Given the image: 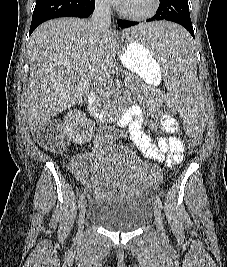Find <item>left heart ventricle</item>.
Segmentation results:
<instances>
[{"instance_id": "b2bd125f", "label": "left heart ventricle", "mask_w": 227, "mask_h": 267, "mask_svg": "<svg viewBox=\"0 0 227 267\" xmlns=\"http://www.w3.org/2000/svg\"><path fill=\"white\" fill-rule=\"evenodd\" d=\"M150 5L151 0H128L123 7L129 11L141 13L147 11Z\"/></svg>"}]
</instances>
